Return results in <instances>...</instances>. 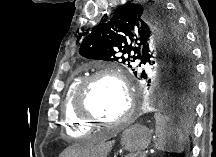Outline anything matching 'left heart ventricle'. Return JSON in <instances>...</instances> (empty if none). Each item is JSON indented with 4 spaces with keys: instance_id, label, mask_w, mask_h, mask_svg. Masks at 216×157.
<instances>
[{
    "instance_id": "1",
    "label": "left heart ventricle",
    "mask_w": 216,
    "mask_h": 157,
    "mask_svg": "<svg viewBox=\"0 0 216 157\" xmlns=\"http://www.w3.org/2000/svg\"><path fill=\"white\" fill-rule=\"evenodd\" d=\"M89 109L99 119L114 122L127 109V100L120 85L111 78H100L90 88Z\"/></svg>"
}]
</instances>
